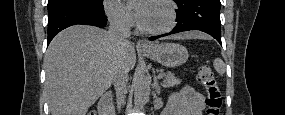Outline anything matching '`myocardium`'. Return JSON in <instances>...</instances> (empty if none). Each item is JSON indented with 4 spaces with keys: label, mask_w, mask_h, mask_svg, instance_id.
Returning a JSON list of instances; mask_svg holds the SVG:
<instances>
[{
    "label": "myocardium",
    "mask_w": 285,
    "mask_h": 115,
    "mask_svg": "<svg viewBox=\"0 0 285 115\" xmlns=\"http://www.w3.org/2000/svg\"><path fill=\"white\" fill-rule=\"evenodd\" d=\"M153 2L164 4L168 10V24L162 28L158 29H149L144 27L143 25L140 27L142 31L152 34V35H161L173 30L177 23V12L176 6L173 1L171 0H155Z\"/></svg>",
    "instance_id": "1"
}]
</instances>
